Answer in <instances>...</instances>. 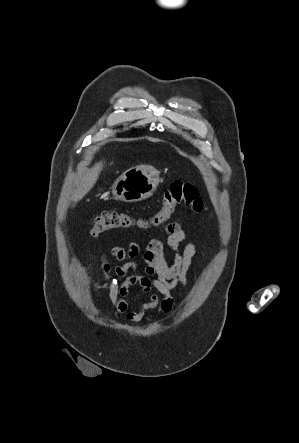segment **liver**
<instances>
[{"label":"liver","mask_w":299,"mask_h":443,"mask_svg":"<svg viewBox=\"0 0 299 443\" xmlns=\"http://www.w3.org/2000/svg\"><path fill=\"white\" fill-rule=\"evenodd\" d=\"M102 169V162L96 163L79 177L71 198L74 204L80 201L93 188Z\"/></svg>","instance_id":"obj_1"}]
</instances>
